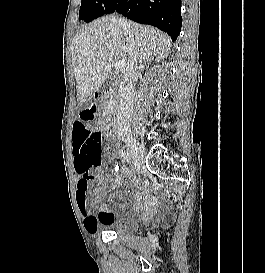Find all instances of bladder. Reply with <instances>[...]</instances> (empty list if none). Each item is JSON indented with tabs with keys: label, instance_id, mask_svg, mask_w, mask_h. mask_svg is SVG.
Listing matches in <instances>:
<instances>
[{
	"label": "bladder",
	"instance_id": "1",
	"mask_svg": "<svg viewBox=\"0 0 265 273\" xmlns=\"http://www.w3.org/2000/svg\"><path fill=\"white\" fill-rule=\"evenodd\" d=\"M141 225V220L135 216H118L106 224L108 231L116 234H135Z\"/></svg>",
	"mask_w": 265,
	"mask_h": 273
}]
</instances>
